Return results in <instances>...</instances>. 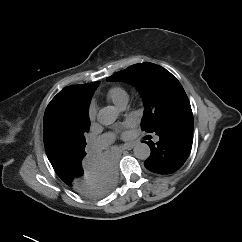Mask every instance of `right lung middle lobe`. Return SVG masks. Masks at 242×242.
Instances as JSON below:
<instances>
[{"label": "right lung middle lobe", "mask_w": 242, "mask_h": 242, "mask_svg": "<svg viewBox=\"0 0 242 242\" xmlns=\"http://www.w3.org/2000/svg\"><path fill=\"white\" fill-rule=\"evenodd\" d=\"M89 130V128H87L86 130L80 132L79 134H77L74 138H73V143L76 145V147L78 148L80 154L82 156H85V145H86V141H85V133Z\"/></svg>", "instance_id": "right-lung-middle-lobe-1"}]
</instances>
